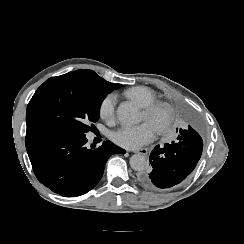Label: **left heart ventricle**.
Here are the masks:
<instances>
[{"mask_svg": "<svg viewBox=\"0 0 244 244\" xmlns=\"http://www.w3.org/2000/svg\"><path fill=\"white\" fill-rule=\"evenodd\" d=\"M162 119H168V116L165 112L146 115L143 111L142 120L150 122L154 126H156Z\"/></svg>", "mask_w": 244, "mask_h": 244, "instance_id": "b2bd125f", "label": "left heart ventricle"}]
</instances>
